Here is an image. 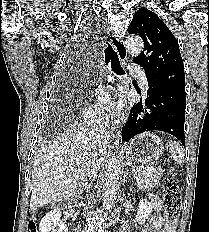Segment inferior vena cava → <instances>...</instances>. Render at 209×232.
<instances>
[{"mask_svg":"<svg viewBox=\"0 0 209 232\" xmlns=\"http://www.w3.org/2000/svg\"><path fill=\"white\" fill-rule=\"evenodd\" d=\"M101 132H103V128H101ZM102 134V133H101ZM95 145L93 147V153H94V161L91 164V167L88 171V176H89V182L90 186L93 182V180L96 178L100 163H99V157L101 153V148H102V142L104 141V138L101 137L100 135H95Z\"/></svg>","mask_w":209,"mask_h":232,"instance_id":"inferior-vena-cava-1","label":"inferior vena cava"}]
</instances>
